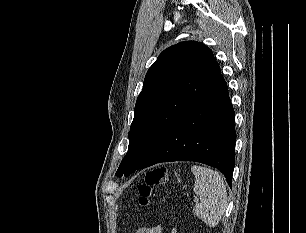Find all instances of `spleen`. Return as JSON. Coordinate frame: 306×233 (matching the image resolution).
Here are the masks:
<instances>
[{
    "mask_svg": "<svg viewBox=\"0 0 306 233\" xmlns=\"http://www.w3.org/2000/svg\"><path fill=\"white\" fill-rule=\"evenodd\" d=\"M193 190L200 197L193 213L207 226L215 227L220 222L227 207V190L222 175L210 168L194 165Z\"/></svg>",
    "mask_w": 306,
    "mask_h": 233,
    "instance_id": "3e777b00",
    "label": "spleen"
}]
</instances>
